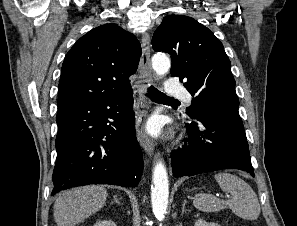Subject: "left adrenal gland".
<instances>
[{"label":"left adrenal gland","mask_w":297,"mask_h":226,"mask_svg":"<svg viewBox=\"0 0 297 226\" xmlns=\"http://www.w3.org/2000/svg\"><path fill=\"white\" fill-rule=\"evenodd\" d=\"M186 200H184L183 204H182V214H184L187 210L185 209V205H186Z\"/></svg>","instance_id":"left-adrenal-gland-1"}]
</instances>
